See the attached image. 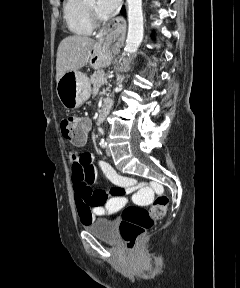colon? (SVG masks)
<instances>
[{"label":"colon","mask_w":240,"mask_h":288,"mask_svg":"<svg viewBox=\"0 0 240 288\" xmlns=\"http://www.w3.org/2000/svg\"><path fill=\"white\" fill-rule=\"evenodd\" d=\"M88 128V121L83 118L69 115L61 121L63 136L72 142L85 139ZM167 206L168 198L161 194L154 200L149 209L140 206H128L124 209L120 223V234L128 249H134L147 230L165 215Z\"/></svg>","instance_id":"1"}]
</instances>
